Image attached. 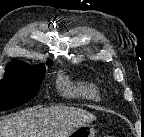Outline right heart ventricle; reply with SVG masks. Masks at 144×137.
<instances>
[{
	"label": "right heart ventricle",
	"mask_w": 144,
	"mask_h": 137,
	"mask_svg": "<svg viewBox=\"0 0 144 137\" xmlns=\"http://www.w3.org/2000/svg\"><path fill=\"white\" fill-rule=\"evenodd\" d=\"M58 87L62 95L68 98L97 100L99 97L96 86L85 80H72L68 76H60Z\"/></svg>",
	"instance_id": "e07e8e85"
}]
</instances>
